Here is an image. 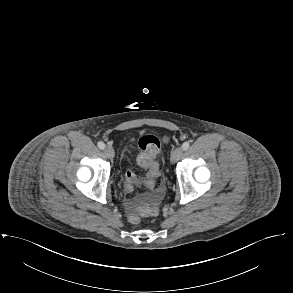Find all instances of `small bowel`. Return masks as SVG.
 <instances>
[{
	"label": "small bowel",
	"mask_w": 293,
	"mask_h": 293,
	"mask_svg": "<svg viewBox=\"0 0 293 293\" xmlns=\"http://www.w3.org/2000/svg\"><path fill=\"white\" fill-rule=\"evenodd\" d=\"M133 189V187H127L125 186V190L127 192H130ZM125 207H126V211L128 212V214H130L132 211H134L135 208V203L132 199L127 198L125 201Z\"/></svg>",
	"instance_id": "obj_1"
}]
</instances>
